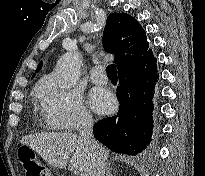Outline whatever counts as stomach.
<instances>
[{"instance_id": "0dacf381", "label": "stomach", "mask_w": 205, "mask_h": 176, "mask_svg": "<svg viewBox=\"0 0 205 176\" xmlns=\"http://www.w3.org/2000/svg\"><path fill=\"white\" fill-rule=\"evenodd\" d=\"M26 149H28V150H30V148H28V147H25ZM31 151V150H30Z\"/></svg>"}]
</instances>
